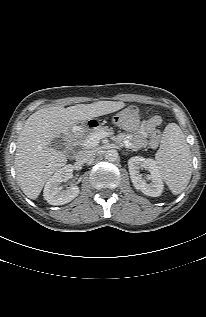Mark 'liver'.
<instances>
[{
	"mask_svg": "<svg viewBox=\"0 0 206 317\" xmlns=\"http://www.w3.org/2000/svg\"><path fill=\"white\" fill-rule=\"evenodd\" d=\"M124 106L121 101H98L67 108L46 107L33 113L19 134L15 153L16 179L23 193L35 200L52 174L67 163L62 151L50 147L54 138L68 135L76 124Z\"/></svg>",
	"mask_w": 206,
	"mask_h": 317,
	"instance_id": "obj_1",
	"label": "liver"
}]
</instances>
